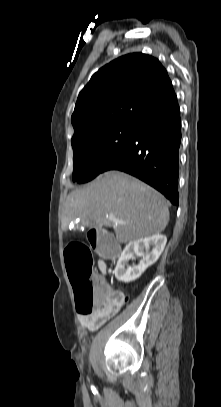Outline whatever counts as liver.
I'll return each instance as SVG.
<instances>
[{"label":"liver","mask_w":221,"mask_h":407,"mask_svg":"<svg viewBox=\"0 0 221 407\" xmlns=\"http://www.w3.org/2000/svg\"><path fill=\"white\" fill-rule=\"evenodd\" d=\"M76 219L93 227H112L117 240L127 243L163 232L169 210L165 198L147 184L123 172L108 171L68 195L62 224Z\"/></svg>","instance_id":"liver-1"}]
</instances>
